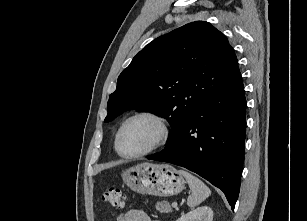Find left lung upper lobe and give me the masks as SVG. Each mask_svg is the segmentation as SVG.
Returning <instances> with one entry per match:
<instances>
[{"label": "left lung upper lobe", "instance_id": "left-lung-upper-lobe-1", "mask_svg": "<svg viewBox=\"0 0 307 221\" xmlns=\"http://www.w3.org/2000/svg\"><path fill=\"white\" fill-rule=\"evenodd\" d=\"M236 67V55L224 34L208 22L186 24L137 53L118 77L105 122L130 109L152 112L171 124L168 142Z\"/></svg>", "mask_w": 307, "mask_h": 221}]
</instances>
